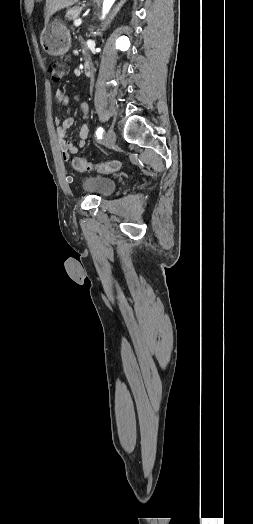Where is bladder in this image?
<instances>
[{"mask_svg": "<svg viewBox=\"0 0 253 524\" xmlns=\"http://www.w3.org/2000/svg\"><path fill=\"white\" fill-rule=\"evenodd\" d=\"M116 186L117 182L113 178L105 176H88L82 182V188L85 192L92 193L100 198L111 195Z\"/></svg>", "mask_w": 253, "mask_h": 524, "instance_id": "31cf9c89", "label": "bladder"}]
</instances>
